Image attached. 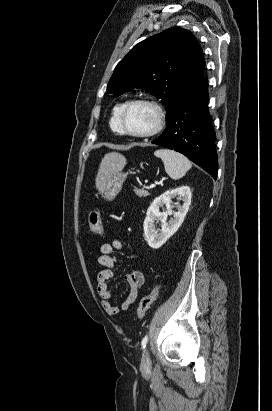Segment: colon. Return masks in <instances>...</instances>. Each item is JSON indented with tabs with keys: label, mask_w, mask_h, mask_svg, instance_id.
I'll list each match as a JSON object with an SVG mask.
<instances>
[{
	"label": "colon",
	"mask_w": 272,
	"mask_h": 411,
	"mask_svg": "<svg viewBox=\"0 0 272 411\" xmlns=\"http://www.w3.org/2000/svg\"><path fill=\"white\" fill-rule=\"evenodd\" d=\"M89 230L93 235L99 236L102 234V214L99 210H93L89 215ZM161 286L157 284L153 290L139 300L137 306V317L142 319L152 304L157 299Z\"/></svg>",
	"instance_id": "colon-1"
}]
</instances>
